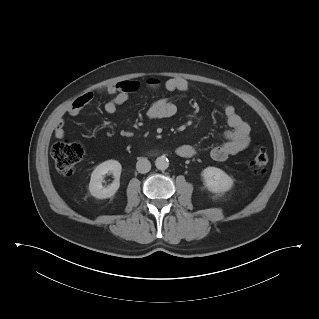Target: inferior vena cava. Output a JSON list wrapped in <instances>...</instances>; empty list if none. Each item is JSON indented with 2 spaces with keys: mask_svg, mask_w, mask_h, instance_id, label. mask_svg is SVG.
I'll list each match as a JSON object with an SVG mask.
<instances>
[{
  "mask_svg": "<svg viewBox=\"0 0 319 319\" xmlns=\"http://www.w3.org/2000/svg\"><path fill=\"white\" fill-rule=\"evenodd\" d=\"M136 169L139 173H147L151 169V163L147 158H140L136 163Z\"/></svg>",
  "mask_w": 319,
  "mask_h": 319,
  "instance_id": "602c4592",
  "label": "inferior vena cava"
}]
</instances>
